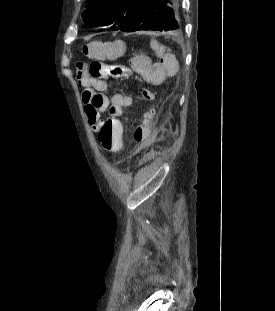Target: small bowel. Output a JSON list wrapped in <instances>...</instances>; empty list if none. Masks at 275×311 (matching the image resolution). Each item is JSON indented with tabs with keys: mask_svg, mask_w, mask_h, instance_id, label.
Instances as JSON below:
<instances>
[{
	"mask_svg": "<svg viewBox=\"0 0 275 311\" xmlns=\"http://www.w3.org/2000/svg\"><path fill=\"white\" fill-rule=\"evenodd\" d=\"M150 45L153 49L151 56L154 64L150 60H145L141 56H134L128 61V66L135 72H140V80H148L149 87H166V80H176V76L181 74V65L179 56H168L167 46H159V43L152 39ZM103 52L108 57H123L124 52L121 46L112 44L103 47ZM80 83L85 87L83 92V102L85 104V113L88 122L94 132H97L103 123L102 114L108 110L110 118H125V109L132 104L130 95L122 93H113L110 96L104 94L107 84L100 79L88 77L84 74L79 75ZM176 85L175 81L171 82ZM166 105H161L160 101H153L152 105L145 109L141 115V122H136L130 138L133 143H153L156 138L158 120L156 116L161 112H168L171 106V94H168ZM123 129V128H122ZM122 133V130H119Z\"/></svg>",
	"mask_w": 275,
	"mask_h": 311,
	"instance_id": "small-bowel-1",
	"label": "small bowel"
}]
</instances>
